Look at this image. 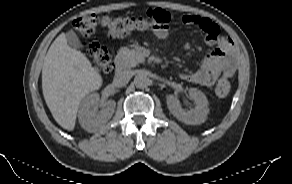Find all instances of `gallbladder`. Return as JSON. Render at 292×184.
I'll use <instances>...</instances> for the list:
<instances>
[{"mask_svg":"<svg viewBox=\"0 0 292 184\" xmlns=\"http://www.w3.org/2000/svg\"><path fill=\"white\" fill-rule=\"evenodd\" d=\"M66 39H67L68 44L71 47H73L75 49L82 48V44L74 31H72V30L68 31L66 33Z\"/></svg>","mask_w":292,"mask_h":184,"instance_id":"bac80fb5","label":"gallbladder"}]
</instances>
